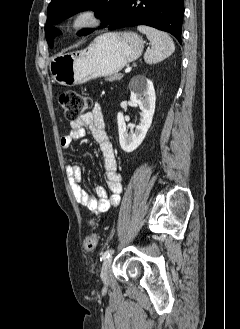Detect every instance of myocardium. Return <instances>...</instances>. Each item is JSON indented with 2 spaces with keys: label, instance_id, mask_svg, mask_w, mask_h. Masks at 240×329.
I'll list each match as a JSON object with an SVG mask.
<instances>
[{
  "label": "myocardium",
  "instance_id": "1",
  "mask_svg": "<svg viewBox=\"0 0 240 329\" xmlns=\"http://www.w3.org/2000/svg\"><path fill=\"white\" fill-rule=\"evenodd\" d=\"M102 23L99 10L93 6H82L75 9L66 21L69 31L79 32L98 27Z\"/></svg>",
  "mask_w": 240,
  "mask_h": 329
}]
</instances>
